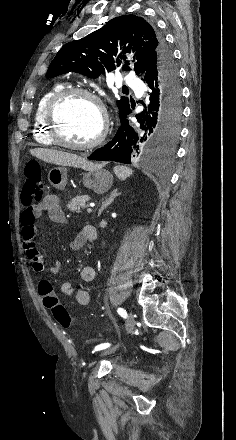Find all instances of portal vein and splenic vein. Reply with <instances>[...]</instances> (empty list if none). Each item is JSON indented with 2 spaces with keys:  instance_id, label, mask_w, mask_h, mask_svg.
<instances>
[{
  "instance_id": "obj_1",
  "label": "portal vein and splenic vein",
  "mask_w": 236,
  "mask_h": 440,
  "mask_svg": "<svg viewBox=\"0 0 236 440\" xmlns=\"http://www.w3.org/2000/svg\"><path fill=\"white\" fill-rule=\"evenodd\" d=\"M87 212H88V213H91V212H92V208H91V207H88Z\"/></svg>"
}]
</instances>
